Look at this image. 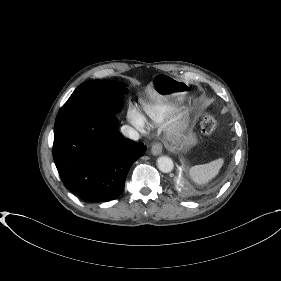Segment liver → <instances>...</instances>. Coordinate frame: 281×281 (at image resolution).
Masks as SVG:
<instances>
[{"instance_id": "6515ba94", "label": "liver", "mask_w": 281, "mask_h": 281, "mask_svg": "<svg viewBox=\"0 0 281 281\" xmlns=\"http://www.w3.org/2000/svg\"><path fill=\"white\" fill-rule=\"evenodd\" d=\"M145 93L146 95L152 99V100H159L160 97L156 94V92L154 91L152 85H148L145 89Z\"/></svg>"}]
</instances>
